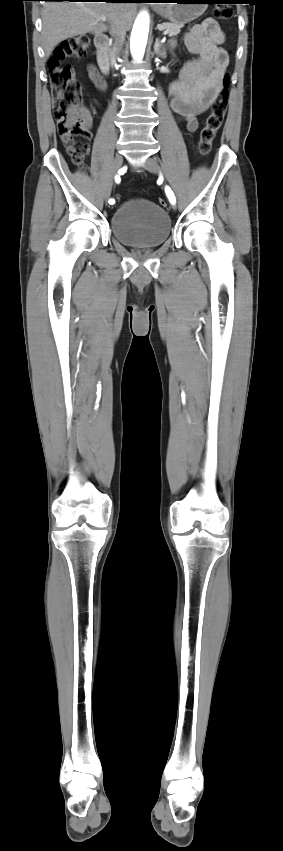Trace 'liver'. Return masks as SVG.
Listing matches in <instances>:
<instances>
[{
	"instance_id": "1",
	"label": "liver",
	"mask_w": 283,
	"mask_h": 851,
	"mask_svg": "<svg viewBox=\"0 0 283 851\" xmlns=\"http://www.w3.org/2000/svg\"><path fill=\"white\" fill-rule=\"evenodd\" d=\"M137 5L131 2H67L50 1L42 11V43L49 57L61 41L92 33L95 35L115 28L128 31L133 23ZM105 16L108 24L99 20Z\"/></svg>"
}]
</instances>
